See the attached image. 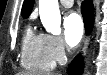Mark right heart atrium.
Masks as SVG:
<instances>
[{"instance_id": "1", "label": "right heart atrium", "mask_w": 107, "mask_h": 75, "mask_svg": "<svg viewBox=\"0 0 107 75\" xmlns=\"http://www.w3.org/2000/svg\"><path fill=\"white\" fill-rule=\"evenodd\" d=\"M47 48L55 63H63L67 57V46L59 36L45 35Z\"/></svg>"}]
</instances>
